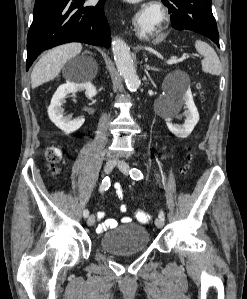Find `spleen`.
Wrapping results in <instances>:
<instances>
[{"mask_svg":"<svg viewBox=\"0 0 247 299\" xmlns=\"http://www.w3.org/2000/svg\"><path fill=\"white\" fill-rule=\"evenodd\" d=\"M195 47L197 52L204 56L202 70L212 75H220L222 66L215 50L208 43L201 40L195 42Z\"/></svg>","mask_w":247,"mask_h":299,"instance_id":"1","label":"spleen"}]
</instances>
